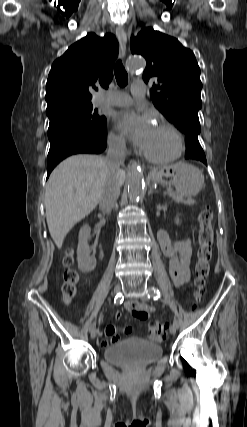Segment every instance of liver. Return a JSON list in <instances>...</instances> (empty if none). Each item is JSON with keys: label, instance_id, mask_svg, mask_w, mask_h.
I'll list each match as a JSON object with an SVG mask.
<instances>
[{"label": "liver", "instance_id": "6515ba94", "mask_svg": "<svg viewBox=\"0 0 247 427\" xmlns=\"http://www.w3.org/2000/svg\"><path fill=\"white\" fill-rule=\"evenodd\" d=\"M107 177L106 159L90 154L71 156L51 173L45 210L49 232L58 249L68 232L96 208ZM115 177L121 186L125 171L120 169Z\"/></svg>", "mask_w": 247, "mask_h": 427}]
</instances>
